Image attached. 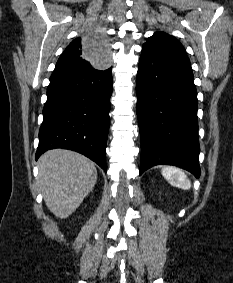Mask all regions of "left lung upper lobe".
Listing matches in <instances>:
<instances>
[{
	"label": "left lung upper lobe",
	"mask_w": 233,
	"mask_h": 283,
	"mask_svg": "<svg viewBox=\"0 0 233 283\" xmlns=\"http://www.w3.org/2000/svg\"><path fill=\"white\" fill-rule=\"evenodd\" d=\"M143 47L161 50H174L185 53V49L182 44L175 37L164 32H156L153 36L148 38Z\"/></svg>",
	"instance_id": "1"
}]
</instances>
